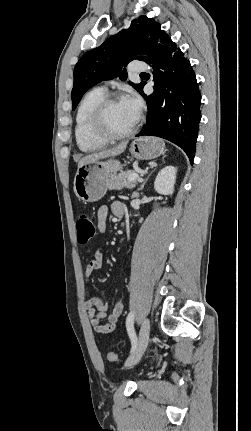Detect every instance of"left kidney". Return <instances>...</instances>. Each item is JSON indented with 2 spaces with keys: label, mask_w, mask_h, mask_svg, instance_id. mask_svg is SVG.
Returning a JSON list of instances; mask_svg holds the SVG:
<instances>
[{
  "label": "left kidney",
  "mask_w": 251,
  "mask_h": 431,
  "mask_svg": "<svg viewBox=\"0 0 251 431\" xmlns=\"http://www.w3.org/2000/svg\"><path fill=\"white\" fill-rule=\"evenodd\" d=\"M177 168L174 166H166L157 175L154 182L156 192L163 195H172L176 182Z\"/></svg>",
  "instance_id": "1"
}]
</instances>
